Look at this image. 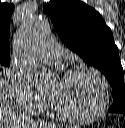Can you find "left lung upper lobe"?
I'll list each match as a JSON object with an SVG mask.
<instances>
[{
  "instance_id": "5c2ea615",
  "label": "left lung upper lobe",
  "mask_w": 125,
  "mask_h": 128,
  "mask_svg": "<svg viewBox=\"0 0 125 128\" xmlns=\"http://www.w3.org/2000/svg\"><path fill=\"white\" fill-rule=\"evenodd\" d=\"M64 44L101 70L112 86V113H125V84L119 50L101 15L78 0H56L43 8Z\"/></svg>"
}]
</instances>
